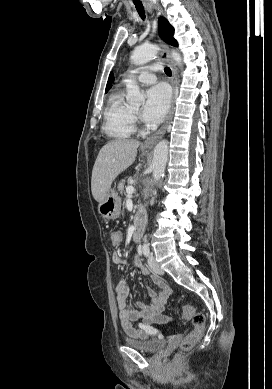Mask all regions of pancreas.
I'll return each mask as SVG.
<instances>
[{
  "instance_id": "1",
  "label": "pancreas",
  "mask_w": 272,
  "mask_h": 389,
  "mask_svg": "<svg viewBox=\"0 0 272 389\" xmlns=\"http://www.w3.org/2000/svg\"><path fill=\"white\" fill-rule=\"evenodd\" d=\"M128 184V185H134L135 184V180L133 179V177H128L127 180H124L120 183L119 185V191L120 193L123 195L125 194V184Z\"/></svg>"
}]
</instances>
